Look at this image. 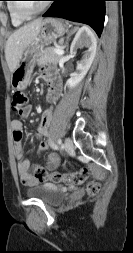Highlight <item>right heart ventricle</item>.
Returning a JSON list of instances; mask_svg holds the SVG:
<instances>
[{"instance_id": "e07e8e85", "label": "right heart ventricle", "mask_w": 133, "mask_h": 253, "mask_svg": "<svg viewBox=\"0 0 133 253\" xmlns=\"http://www.w3.org/2000/svg\"><path fill=\"white\" fill-rule=\"evenodd\" d=\"M7 11L9 13L10 21L13 26L18 27L21 26L25 20L20 19L14 12L13 7H12V2L9 1L7 3Z\"/></svg>"}]
</instances>
